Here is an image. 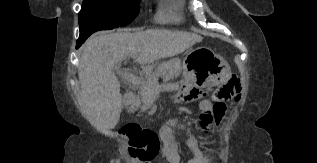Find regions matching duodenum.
I'll return each mask as SVG.
<instances>
[{
	"instance_id": "duodenum-1",
	"label": "duodenum",
	"mask_w": 317,
	"mask_h": 163,
	"mask_svg": "<svg viewBox=\"0 0 317 163\" xmlns=\"http://www.w3.org/2000/svg\"><path fill=\"white\" fill-rule=\"evenodd\" d=\"M135 99V93L133 91H127L124 94V102L126 105L131 104Z\"/></svg>"
}]
</instances>
